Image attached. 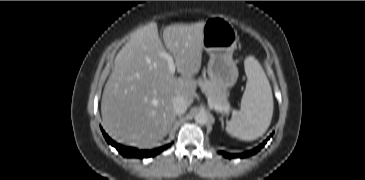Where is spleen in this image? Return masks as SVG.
Instances as JSON below:
<instances>
[{
  "label": "spleen",
  "instance_id": "obj_1",
  "mask_svg": "<svg viewBox=\"0 0 365 180\" xmlns=\"http://www.w3.org/2000/svg\"><path fill=\"white\" fill-rule=\"evenodd\" d=\"M247 76L241 109L226 125V132L241 140H254L268 129L273 115L270 83L260 63L253 56L244 61Z\"/></svg>",
  "mask_w": 365,
  "mask_h": 180
}]
</instances>
